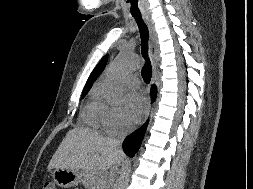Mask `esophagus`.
Instances as JSON below:
<instances>
[{"mask_svg":"<svg viewBox=\"0 0 253 189\" xmlns=\"http://www.w3.org/2000/svg\"><path fill=\"white\" fill-rule=\"evenodd\" d=\"M145 19H146V22L148 24L149 31H150V57H151L153 69L155 70L157 68V66L159 64V60H160L159 44H158L157 34H156L153 23L151 22V20L148 16H145ZM151 111H152V107L149 106L144 120H146L148 118Z\"/></svg>","mask_w":253,"mask_h":189,"instance_id":"34e87169","label":"esophagus"}]
</instances>
